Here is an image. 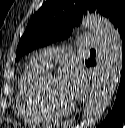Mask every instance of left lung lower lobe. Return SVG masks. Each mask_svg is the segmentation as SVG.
Wrapping results in <instances>:
<instances>
[{"label":"left lung lower lobe","instance_id":"0a47b994","mask_svg":"<svg viewBox=\"0 0 125 128\" xmlns=\"http://www.w3.org/2000/svg\"><path fill=\"white\" fill-rule=\"evenodd\" d=\"M122 41V70L120 84L112 110L108 113L104 122L98 128H122L125 116V22L117 29ZM88 67L94 66L91 59L86 63Z\"/></svg>","mask_w":125,"mask_h":128}]
</instances>
